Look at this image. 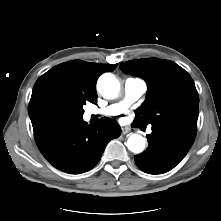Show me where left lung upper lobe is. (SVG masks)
<instances>
[{"label":"left lung upper lobe","instance_id":"5c2ea615","mask_svg":"<svg viewBox=\"0 0 221 221\" xmlns=\"http://www.w3.org/2000/svg\"><path fill=\"white\" fill-rule=\"evenodd\" d=\"M119 68L148 84L147 97L136 113L135 124H169L197 131L198 93L182 67L172 61L146 58L121 63Z\"/></svg>","mask_w":221,"mask_h":221}]
</instances>
